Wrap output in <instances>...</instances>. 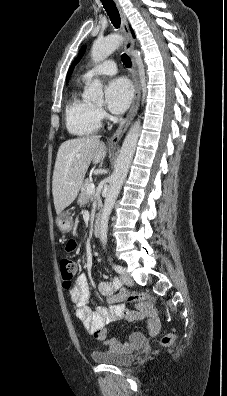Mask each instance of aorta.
Returning <instances> with one entry per match:
<instances>
[{"label":"aorta","instance_id":"aorta-1","mask_svg":"<svg viewBox=\"0 0 227 396\" xmlns=\"http://www.w3.org/2000/svg\"><path fill=\"white\" fill-rule=\"evenodd\" d=\"M124 38L118 34H111L93 43L91 57L95 63L105 60L123 42ZM84 97L87 100L98 103L103 101L102 84L95 79L91 85L85 89ZM140 134V121H136L127 133L116 161L115 169L110 178L109 189L104 201L103 211L100 221V241L103 246L107 243L108 220L116 202L120 189L127 176L136 145Z\"/></svg>","mask_w":227,"mask_h":396}]
</instances>
